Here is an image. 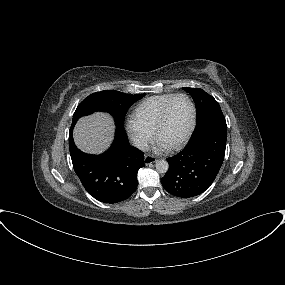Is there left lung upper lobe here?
Wrapping results in <instances>:
<instances>
[{
    "instance_id": "5c2ea615",
    "label": "left lung upper lobe",
    "mask_w": 285,
    "mask_h": 285,
    "mask_svg": "<svg viewBox=\"0 0 285 285\" xmlns=\"http://www.w3.org/2000/svg\"><path fill=\"white\" fill-rule=\"evenodd\" d=\"M183 90L191 94L194 99L197 111V123L200 122L208 113L215 110H221L219 103L204 90L189 87H184Z\"/></svg>"
}]
</instances>
